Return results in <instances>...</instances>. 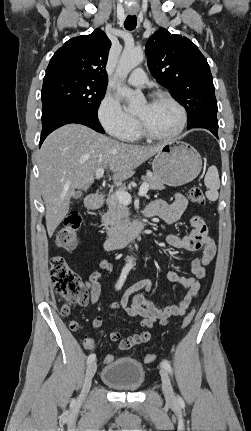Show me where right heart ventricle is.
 <instances>
[{
	"instance_id": "right-heart-ventricle-1",
	"label": "right heart ventricle",
	"mask_w": 251,
	"mask_h": 431,
	"mask_svg": "<svg viewBox=\"0 0 251 431\" xmlns=\"http://www.w3.org/2000/svg\"><path fill=\"white\" fill-rule=\"evenodd\" d=\"M139 137H140V133L138 132L137 129H135L134 132L127 138V140L134 141L139 139Z\"/></svg>"
}]
</instances>
